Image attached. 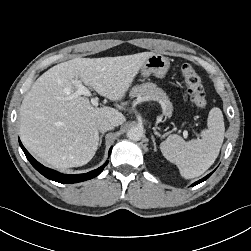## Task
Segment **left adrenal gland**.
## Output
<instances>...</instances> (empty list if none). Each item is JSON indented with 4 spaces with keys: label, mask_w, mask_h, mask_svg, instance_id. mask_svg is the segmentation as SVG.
<instances>
[{
    "label": "left adrenal gland",
    "mask_w": 251,
    "mask_h": 251,
    "mask_svg": "<svg viewBox=\"0 0 251 251\" xmlns=\"http://www.w3.org/2000/svg\"><path fill=\"white\" fill-rule=\"evenodd\" d=\"M151 138H152V141H153L154 150L156 151L157 148H156V142H155V137H154V135H152Z\"/></svg>",
    "instance_id": "1"
}]
</instances>
